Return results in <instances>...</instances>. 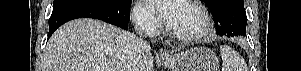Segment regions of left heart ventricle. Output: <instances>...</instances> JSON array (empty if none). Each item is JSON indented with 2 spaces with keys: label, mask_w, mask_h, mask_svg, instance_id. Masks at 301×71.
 <instances>
[{
  "label": "left heart ventricle",
  "mask_w": 301,
  "mask_h": 71,
  "mask_svg": "<svg viewBox=\"0 0 301 71\" xmlns=\"http://www.w3.org/2000/svg\"><path fill=\"white\" fill-rule=\"evenodd\" d=\"M202 26L200 15L190 6L181 2L177 17L170 26L173 30L183 34H194Z\"/></svg>",
  "instance_id": "1"
}]
</instances>
